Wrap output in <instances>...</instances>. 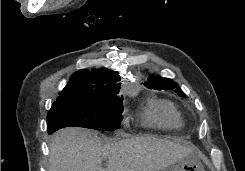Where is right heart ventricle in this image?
<instances>
[{"instance_id":"right-heart-ventricle-1","label":"right heart ventricle","mask_w":245,"mask_h":171,"mask_svg":"<svg viewBox=\"0 0 245 171\" xmlns=\"http://www.w3.org/2000/svg\"><path fill=\"white\" fill-rule=\"evenodd\" d=\"M143 125L163 130L182 126V117L176 106L165 99L149 97L141 111Z\"/></svg>"}]
</instances>
